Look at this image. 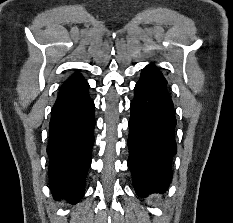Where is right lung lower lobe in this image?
Segmentation results:
<instances>
[{"label": "right lung lower lobe", "instance_id": "1", "mask_svg": "<svg viewBox=\"0 0 233 223\" xmlns=\"http://www.w3.org/2000/svg\"><path fill=\"white\" fill-rule=\"evenodd\" d=\"M79 73L61 86L52 109L47 153L49 183L55 198L76 203L84 194L94 143V103Z\"/></svg>", "mask_w": 233, "mask_h": 223}]
</instances>
